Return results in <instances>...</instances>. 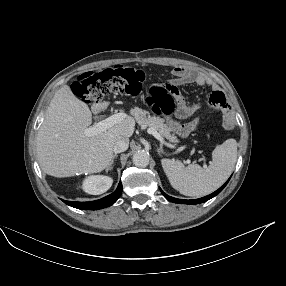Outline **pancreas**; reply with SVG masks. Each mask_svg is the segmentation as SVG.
<instances>
[{
  "instance_id": "cf45deb5",
  "label": "pancreas",
  "mask_w": 286,
  "mask_h": 286,
  "mask_svg": "<svg viewBox=\"0 0 286 286\" xmlns=\"http://www.w3.org/2000/svg\"><path fill=\"white\" fill-rule=\"evenodd\" d=\"M132 114L142 128L150 127L157 130L170 142H178L176 136L171 134L172 129L166 123H164L162 118L150 116L148 111L142 110L140 108H134L132 110Z\"/></svg>"
}]
</instances>
